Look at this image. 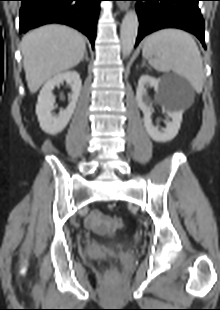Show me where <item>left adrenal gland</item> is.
Returning <instances> with one entry per match:
<instances>
[{
	"instance_id": "obj_1",
	"label": "left adrenal gland",
	"mask_w": 220,
	"mask_h": 310,
	"mask_svg": "<svg viewBox=\"0 0 220 310\" xmlns=\"http://www.w3.org/2000/svg\"><path fill=\"white\" fill-rule=\"evenodd\" d=\"M144 66H146L145 61H143V63H142V67H144Z\"/></svg>"
}]
</instances>
